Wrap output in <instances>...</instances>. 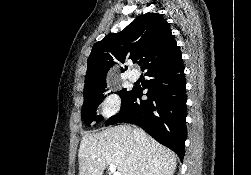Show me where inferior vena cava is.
Returning a JSON list of instances; mask_svg holds the SVG:
<instances>
[{
  "label": "inferior vena cava",
  "instance_id": "obj_1",
  "mask_svg": "<svg viewBox=\"0 0 251 175\" xmlns=\"http://www.w3.org/2000/svg\"><path fill=\"white\" fill-rule=\"evenodd\" d=\"M140 131H141V129H138V127H136V129H134V131H133L134 137H139Z\"/></svg>",
  "mask_w": 251,
  "mask_h": 175
}]
</instances>
